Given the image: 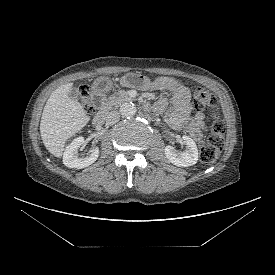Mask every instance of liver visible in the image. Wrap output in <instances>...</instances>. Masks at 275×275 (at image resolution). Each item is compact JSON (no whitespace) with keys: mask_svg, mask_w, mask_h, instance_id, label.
I'll use <instances>...</instances> for the list:
<instances>
[{"mask_svg":"<svg viewBox=\"0 0 275 275\" xmlns=\"http://www.w3.org/2000/svg\"><path fill=\"white\" fill-rule=\"evenodd\" d=\"M72 84H64L48 98L40 122L44 146L55 157L63 154L66 140L79 132L90 120L78 100L71 99Z\"/></svg>","mask_w":275,"mask_h":275,"instance_id":"1","label":"liver"}]
</instances>
